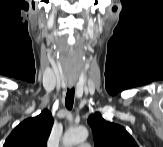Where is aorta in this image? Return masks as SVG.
Listing matches in <instances>:
<instances>
[{"instance_id": "1", "label": "aorta", "mask_w": 163, "mask_h": 147, "mask_svg": "<svg viewBox=\"0 0 163 147\" xmlns=\"http://www.w3.org/2000/svg\"><path fill=\"white\" fill-rule=\"evenodd\" d=\"M88 137V130L84 126L72 127L67 130L63 137V145L72 147L84 142Z\"/></svg>"}]
</instances>
